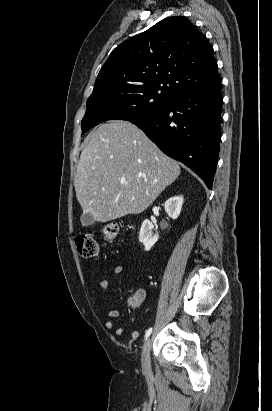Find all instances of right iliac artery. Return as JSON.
<instances>
[{"instance_id": "right-iliac-artery-1", "label": "right iliac artery", "mask_w": 272, "mask_h": 411, "mask_svg": "<svg viewBox=\"0 0 272 411\" xmlns=\"http://www.w3.org/2000/svg\"><path fill=\"white\" fill-rule=\"evenodd\" d=\"M151 333H152V328H149L145 333V339H147Z\"/></svg>"}]
</instances>
